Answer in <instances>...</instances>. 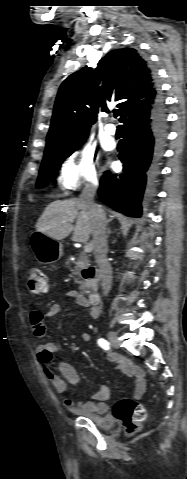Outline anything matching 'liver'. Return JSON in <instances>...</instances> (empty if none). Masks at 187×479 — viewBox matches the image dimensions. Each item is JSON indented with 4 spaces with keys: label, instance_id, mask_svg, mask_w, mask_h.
<instances>
[{
    "label": "liver",
    "instance_id": "obj_1",
    "mask_svg": "<svg viewBox=\"0 0 187 479\" xmlns=\"http://www.w3.org/2000/svg\"><path fill=\"white\" fill-rule=\"evenodd\" d=\"M36 230L55 240H63L74 231L72 240L75 242H87L92 233L89 214L77 198L50 203L38 219Z\"/></svg>",
    "mask_w": 187,
    "mask_h": 479
}]
</instances>
